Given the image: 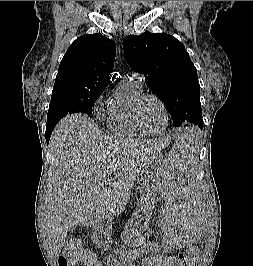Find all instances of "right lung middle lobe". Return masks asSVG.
Segmentation results:
<instances>
[{"label":"right lung middle lobe","instance_id":"right-lung-middle-lobe-1","mask_svg":"<svg viewBox=\"0 0 253 266\" xmlns=\"http://www.w3.org/2000/svg\"><path fill=\"white\" fill-rule=\"evenodd\" d=\"M101 93L102 91L81 96L51 98L47 123L59 122L64 116L71 113L81 112L90 115L94 102Z\"/></svg>","mask_w":253,"mask_h":266}]
</instances>
